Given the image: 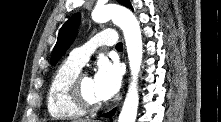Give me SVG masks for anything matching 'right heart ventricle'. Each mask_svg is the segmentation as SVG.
I'll use <instances>...</instances> for the list:
<instances>
[{
	"mask_svg": "<svg viewBox=\"0 0 221 122\" xmlns=\"http://www.w3.org/2000/svg\"><path fill=\"white\" fill-rule=\"evenodd\" d=\"M80 70L81 66L69 58L54 72L47 91V109L52 117L72 119L85 114V111L72 101L69 94L70 82Z\"/></svg>",
	"mask_w": 221,
	"mask_h": 122,
	"instance_id": "1",
	"label": "right heart ventricle"
}]
</instances>
